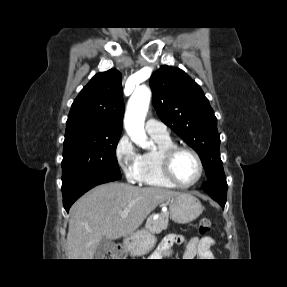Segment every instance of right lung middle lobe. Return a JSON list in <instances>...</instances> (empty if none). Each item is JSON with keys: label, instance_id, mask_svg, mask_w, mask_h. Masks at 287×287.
Instances as JSON below:
<instances>
[{"label": "right lung middle lobe", "instance_id": "dd1d6c3e", "mask_svg": "<svg viewBox=\"0 0 287 287\" xmlns=\"http://www.w3.org/2000/svg\"><path fill=\"white\" fill-rule=\"evenodd\" d=\"M121 133H97L86 126L66 131L62 186L86 176L120 179L116 147Z\"/></svg>", "mask_w": 287, "mask_h": 287}]
</instances>
